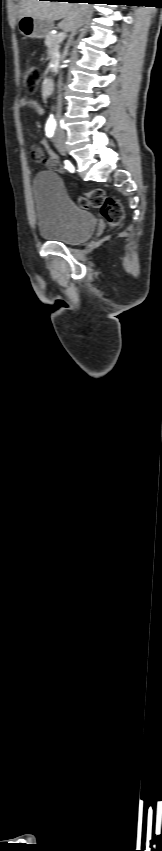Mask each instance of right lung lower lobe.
I'll list each match as a JSON object with an SVG mask.
<instances>
[{
	"instance_id": "98d812e1",
	"label": "right lung lower lobe",
	"mask_w": 162,
	"mask_h": 851,
	"mask_svg": "<svg viewBox=\"0 0 162 851\" xmlns=\"http://www.w3.org/2000/svg\"><path fill=\"white\" fill-rule=\"evenodd\" d=\"M50 1H61V0H50ZM67 1H68V2H78V3H80V2H87V3H89V4H93V3H101V2H103V1L110 2V0H67Z\"/></svg>"
}]
</instances>
